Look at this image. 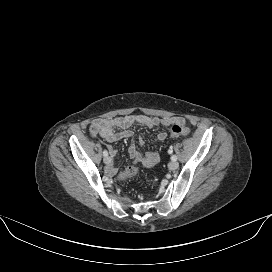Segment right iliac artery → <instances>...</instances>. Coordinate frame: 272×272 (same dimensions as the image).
<instances>
[{
	"instance_id": "1",
	"label": "right iliac artery",
	"mask_w": 272,
	"mask_h": 272,
	"mask_svg": "<svg viewBox=\"0 0 272 272\" xmlns=\"http://www.w3.org/2000/svg\"><path fill=\"white\" fill-rule=\"evenodd\" d=\"M103 155L106 157L108 156V152L106 150L103 151Z\"/></svg>"
}]
</instances>
